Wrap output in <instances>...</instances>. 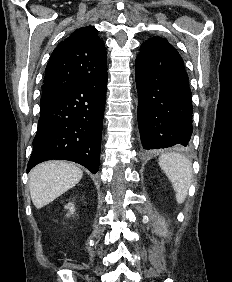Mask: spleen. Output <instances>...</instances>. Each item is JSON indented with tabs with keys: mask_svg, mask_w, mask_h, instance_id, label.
Wrapping results in <instances>:
<instances>
[{
	"mask_svg": "<svg viewBox=\"0 0 232 282\" xmlns=\"http://www.w3.org/2000/svg\"><path fill=\"white\" fill-rule=\"evenodd\" d=\"M159 165L172 183L177 202L183 203L191 183L190 161L181 154L166 153L159 158Z\"/></svg>",
	"mask_w": 232,
	"mask_h": 282,
	"instance_id": "3e777b00",
	"label": "spleen"
}]
</instances>
